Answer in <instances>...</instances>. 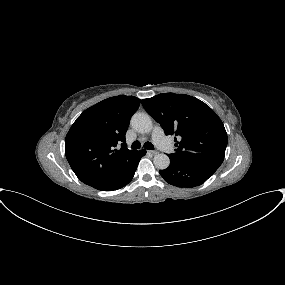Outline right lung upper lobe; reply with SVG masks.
<instances>
[{
  "instance_id": "1",
  "label": "right lung upper lobe",
  "mask_w": 285,
  "mask_h": 285,
  "mask_svg": "<svg viewBox=\"0 0 285 285\" xmlns=\"http://www.w3.org/2000/svg\"><path fill=\"white\" fill-rule=\"evenodd\" d=\"M139 105L140 99L134 96L110 97L86 109L73 123L65 154L83 183L95 187L130 169L138 151L126 148L125 134Z\"/></svg>"
}]
</instances>
